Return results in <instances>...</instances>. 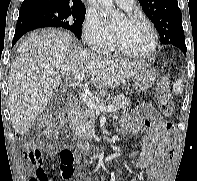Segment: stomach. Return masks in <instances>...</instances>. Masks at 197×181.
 <instances>
[{"label": "stomach", "instance_id": "1", "mask_svg": "<svg viewBox=\"0 0 197 181\" xmlns=\"http://www.w3.org/2000/svg\"><path fill=\"white\" fill-rule=\"evenodd\" d=\"M156 80V72L149 66H145L134 77L135 87L139 91L150 88Z\"/></svg>", "mask_w": 197, "mask_h": 181}]
</instances>
